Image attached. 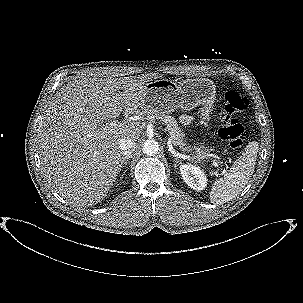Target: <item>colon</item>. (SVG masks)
I'll use <instances>...</instances> for the list:
<instances>
[{
  "label": "colon",
  "instance_id": "colon-1",
  "mask_svg": "<svg viewBox=\"0 0 303 303\" xmlns=\"http://www.w3.org/2000/svg\"><path fill=\"white\" fill-rule=\"evenodd\" d=\"M248 108L249 100L246 97L235 90L226 92L220 114L219 136L234 150L240 149L243 142V127L238 117Z\"/></svg>",
  "mask_w": 303,
  "mask_h": 303
}]
</instances>
